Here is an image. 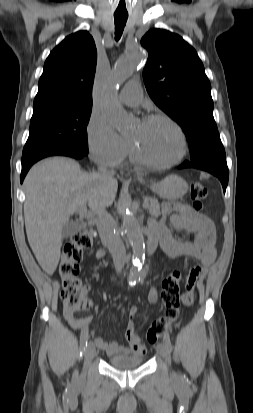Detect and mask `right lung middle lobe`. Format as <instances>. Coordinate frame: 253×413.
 <instances>
[{
    "label": "right lung middle lobe",
    "mask_w": 253,
    "mask_h": 413,
    "mask_svg": "<svg viewBox=\"0 0 253 413\" xmlns=\"http://www.w3.org/2000/svg\"><path fill=\"white\" fill-rule=\"evenodd\" d=\"M92 107L53 108L33 112L22 160L61 150L88 154L87 124Z\"/></svg>",
    "instance_id": "1"
}]
</instances>
